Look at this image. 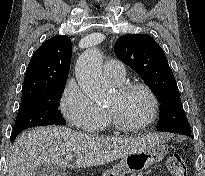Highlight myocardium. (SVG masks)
Returning a JSON list of instances; mask_svg holds the SVG:
<instances>
[{
	"label": "myocardium",
	"instance_id": "obj_1",
	"mask_svg": "<svg viewBox=\"0 0 205 176\" xmlns=\"http://www.w3.org/2000/svg\"><path fill=\"white\" fill-rule=\"evenodd\" d=\"M135 90L143 91L149 97L150 102H151V113L146 120L140 123H137V124H129L123 121L122 118L119 116V114L114 109L107 108V112L114 126L118 130H121V131L141 130V129H144L152 125L157 119L158 112H159V102H158V99L155 93L146 84L141 83V82H130V83L123 84L118 87L117 94L120 96H124Z\"/></svg>",
	"mask_w": 205,
	"mask_h": 176
}]
</instances>
